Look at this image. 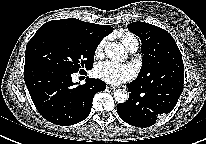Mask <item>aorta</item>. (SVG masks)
Here are the masks:
<instances>
[{
  "instance_id": "762f6f07",
  "label": "aorta",
  "mask_w": 206,
  "mask_h": 144,
  "mask_svg": "<svg viewBox=\"0 0 206 144\" xmlns=\"http://www.w3.org/2000/svg\"><path fill=\"white\" fill-rule=\"evenodd\" d=\"M104 50L105 54L111 59L123 60L126 58L124 47L121 44L108 43ZM114 98L118 103H125L129 98V94L125 89H117L114 92Z\"/></svg>"
}]
</instances>
